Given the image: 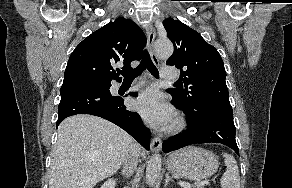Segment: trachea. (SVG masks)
<instances>
[{
  "instance_id": "trachea-1",
  "label": "trachea",
  "mask_w": 292,
  "mask_h": 188,
  "mask_svg": "<svg viewBox=\"0 0 292 188\" xmlns=\"http://www.w3.org/2000/svg\"><path fill=\"white\" fill-rule=\"evenodd\" d=\"M146 68L148 69V71L154 77H156V78L159 77L158 69L156 68V66L152 62V60L150 58V55H149V53H148L147 50L144 51V56H143V59H142L141 63L139 64V66H137L134 69L121 72V74L124 76V79L125 80L135 79L136 77H138L139 75H141V73Z\"/></svg>"
}]
</instances>
